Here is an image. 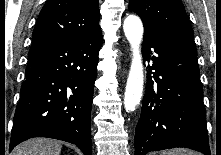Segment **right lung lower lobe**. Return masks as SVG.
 I'll return each instance as SVG.
<instances>
[{"mask_svg": "<svg viewBox=\"0 0 221 155\" xmlns=\"http://www.w3.org/2000/svg\"><path fill=\"white\" fill-rule=\"evenodd\" d=\"M102 41L100 30L32 43L9 151L26 139L49 137L92 155L90 115Z\"/></svg>", "mask_w": 221, "mask_h": 155, "instance_id": "obj_1", "label": "right lung lower lobe"}]
</instances>
